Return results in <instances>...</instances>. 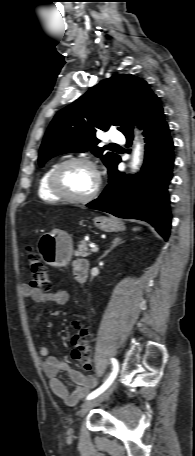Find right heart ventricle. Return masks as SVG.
<instances>
[{"instance_id":"e07e8e85","label":"right heart ventricle","mask_w":195,"mask_h":456,"mask_svg":"<svg viewBox=\"0 0 195 456\" xmlns=\"http://www.w3.org/2000/svg\"><path fill=\"white\" fill-rule=\"evenodd\" d=\"M55 165L48 167L43 174L41 175L39 182H38V195L44 201L55 202L58 201L59 198L54 195L48 185L49 175L54 168Z\"/></svg>"}]
</instances>
